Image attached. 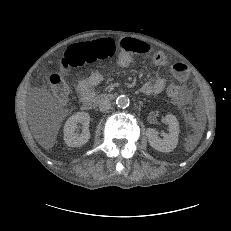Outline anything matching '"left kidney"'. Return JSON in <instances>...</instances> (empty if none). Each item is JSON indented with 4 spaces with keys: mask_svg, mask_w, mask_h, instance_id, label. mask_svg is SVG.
Segmentation results:
<instances>
[{
    "mask_svg": "<svg viewBox=\"0 0 231 231\" xmlns=\"http://www.w3.org/2000/svg\"><path fill=\"white\" fill-rule=\"evenodd\" d=\"M165 121L169 125V133L163 134V139L159 138L158 132L152 128L147 129L146 135L152 148L160 152H171L178 143L179 123L172 114L166 115Z\"/></svg>",
    "mask_w": 231,
    "mask_h": 231,
    "instance_id": "5707ae66",
    "label": "left kidney"
}]
</instances>
